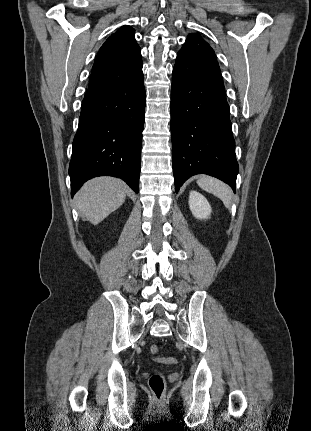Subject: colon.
Segmentation results:
<instances>
[{"mask_svg": "<svg viewBox=\"0 0 311 431\" xmlns=\"http://www.w3.org/2000/svg\"><path fill=\"white\" fill-rule=\"evenodd\" d=\"M149 351L153 355L157 354L158 346L151 345ZM155 361L163 364H175L177 362V360L173 357H158L155 359ZM149 385L154 395L156 397H160L165 390L164 377L159 373L153 374L149 380Z\"/></svg>", "mask_w": 311, "mask_h": 431, "instance_id": "obj_1", "label": "colon"}]
</instances>
